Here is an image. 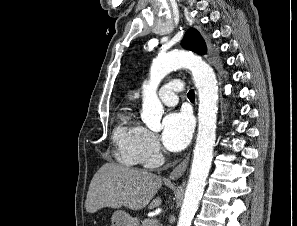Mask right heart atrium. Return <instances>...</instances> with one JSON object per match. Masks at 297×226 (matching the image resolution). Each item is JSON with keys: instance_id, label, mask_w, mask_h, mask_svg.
Listing matches in <instances>:
<instances>
[{"instance_id": "1", "label": "right heart atrium", "mask_w": 297, "mask_h": 226, "mask_svg": "<svg viewBox=\"0 0 297 226\" xmlns=\"http://www.w3.org/2000/svg\"><path fill=\"white\" fill-rule=\"evenodd\" d=\"M162 150L157 136L150 130L139 127L138 162L146 167L159 164Z\"/></svg>"}]
</instances>
